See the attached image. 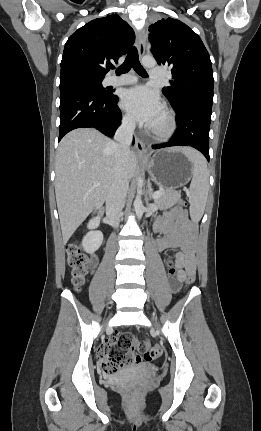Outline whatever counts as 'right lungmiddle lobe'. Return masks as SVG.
I'll use <instances>...</instances> for the list:
<instances>
[{
    "instance_id": "dd1d6c3e",
    "label": "right lung middle lobe",
    "mask_w": 261,
    "mask_h": 431,
    "mask_svg": "<svg viewBox=\"0 0 261 431\" xmlns=\"http://www.w3.org/2000/svg\"><path fill=\"white\" fill-rule=\"evenodd\" d=\"M104 77L94 75L82 70H72L60 75V85L65 83L87 84L100 95H108L102 86Z\"/></svg>"
}]
</instances>
